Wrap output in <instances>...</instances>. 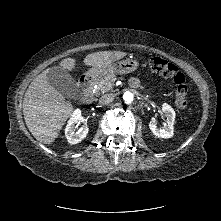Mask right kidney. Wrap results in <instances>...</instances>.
<instances>
[{
	"instance_id": "right-kidney-1",
	"label": "right kidney",
	"mask_w": 221,
	"mask_h": 221,
	"mask_svg": "<svg viewBox=\"0 0 221 221\" xmlns=\"http://www.w3.org/2000/svg\"><path fill=\"white\" fill-rule=\"evenodd\" d=\"M80 119L81 111L79 109H76L65 128V136L70 144L79 143L88 134L89 129L86 123H84V125L80 129H77Z\"/></svg>"
}]
</instances>
